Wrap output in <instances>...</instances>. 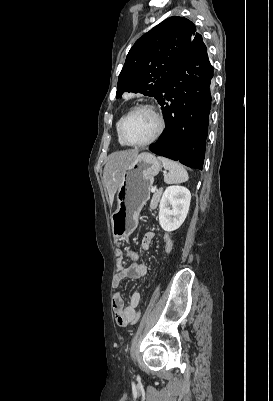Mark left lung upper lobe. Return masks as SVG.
Listing matches in <instances>:
<instances>
[{
  "label": "left lung upper lobe",
  "instance_id": "1",
  "mask_svg": "<svg viewBox=\"0 0 273 401\" xmlns=\"http://www.w3.org/2000/svg\"><path fill=\"white\" fill-rule=\"evenodd\" d=\"M200 37L193 22L179 16L167 18L144 34L127 55L118 77L116 98L134 92L156 99Z\"/></svg>",
  "mask_w": 273,
  "mask_h": 401
}]
</instances>
